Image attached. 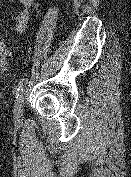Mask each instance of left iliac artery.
<instances>
[{
	"instance_id": "1",
	"label": "left iliac artery",
	"mask_w": 131,
	"mask_h": 177,
	"mask_svg": "<svg viewBox=\"0 0 131 177\" xmlns=\"http://www.w3.org/2000/svg\"><path fill=\"white\" fill-rule=\"evenodd\" d=\"M28 83V78H22L18 85H17V91L19 93V91H23V88L25 87V85ZM19 95V94H18Z\"/></svg>"
}]
</instances>
